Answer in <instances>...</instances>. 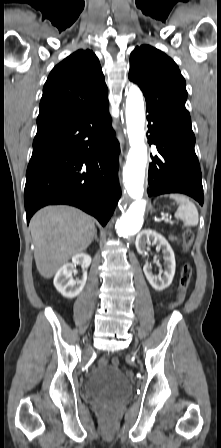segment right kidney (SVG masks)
I'll return each mask as SVG.
<instances>
[{"label":"right kidney","instance_id":"right-kidney-1","mask_svg":"<svg viewBox=\"0 0 221 448\" xmlns=\"http://www.w3.org/2000/svg\"><path fill=\"white\" fill-rule=\"evenodd\" d=\"M91 257L86 253H79L72 257V263L64 264L54 277V286L62 296L74 298L83 290L87 280V268L91 264ZM81 265L83 276L81 279L74 280L72 271L76 265Z\"/></svg>","mask_w":221,"mask_h":448}]
</instances>
